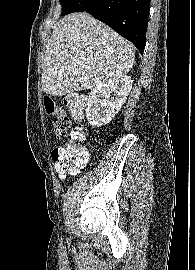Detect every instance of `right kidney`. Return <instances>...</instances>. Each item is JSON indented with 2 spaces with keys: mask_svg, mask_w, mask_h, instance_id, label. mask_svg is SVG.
Segmentation results:
<instances>
[{
  "mask_svg": "<svg viewBox=\"0 0 195 270\" xmlns=\"http://www.w3.org/2000/svg\"><path fill=\"white\" fill-rule=\"evenodd\" d=\"M133 80L124 75L97 85L90 93L86 118L94 127L108 124L120 111L132 88Z\"/></svg>",
  "mask_w": 195,
  "mask_h": 270,
  "instance_id": "1",
  "label": "right kidney"
}]
</instances>
